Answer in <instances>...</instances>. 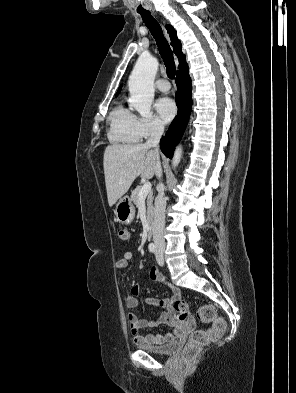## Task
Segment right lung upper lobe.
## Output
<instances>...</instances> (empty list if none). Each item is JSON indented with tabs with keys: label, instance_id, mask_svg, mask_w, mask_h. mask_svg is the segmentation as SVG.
Returning <instances> with one entry per match:
<instances>
[{
	"label": "right lung upper lobe",
	"instance_id": "obj_1",
	"mask_svg": "<svg viewBox=\"0 0 296 393\" xmlns=\"http://www.w3.org/2000/svg\"><path fill=\"white\" fill-rule=\"evenodd\" d=\"M165 28L167 29V31L170 34L171 45L174 49V53L179 58V61H180L179 69H180L182 66L186 65L185 56L183 55L182 50H181V42L177 38V32L175 31V29L171 25H166ZM120 90H121V87L118 89L116 96L118 95Z\"/></svg>",
	"mask_w": 296,
	"mask_h": 393
}]
</instances>
